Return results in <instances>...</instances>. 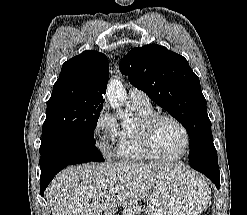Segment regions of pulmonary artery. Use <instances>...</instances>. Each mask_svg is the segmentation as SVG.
Segmentation results:
<instances>
[{"mask_svg":"<svg viewBox=\"0 0 247 215\" xmlns=\"http://www.w3.org/2000/svg\"><path fill=\"white\" fill-rule=\"evenodd\" d=\"M129 102L131 105L140 108H149L150 101L147 94L137 88H131L129 93Z\"/></svg>","mask_w":247,"mask_h":215,"instance_id":"e3ab8cb5","label":"pulmonary artery"}]
</instances>
